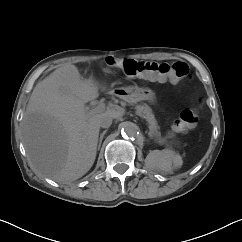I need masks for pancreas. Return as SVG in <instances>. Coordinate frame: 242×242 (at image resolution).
<instances>
[{"label":"pancreas","mask_w":242,"mask_h":242,"mask_svg":"<svg viewBox=\"0 0 242 242\" xmlns=\"http://www.w3.org/2000/svg\"><path fill=\"white\" fill-rule=\"evenodd\" d=\"M136 114L144 119H146V121L149 124V135L151 137H156L159 138L160 137V132L158 131V125H157V121L152 113L151 108L148 105H137L136 106Z\"/></svg>","instance_id":"cf45deb5"}]
</instances>
